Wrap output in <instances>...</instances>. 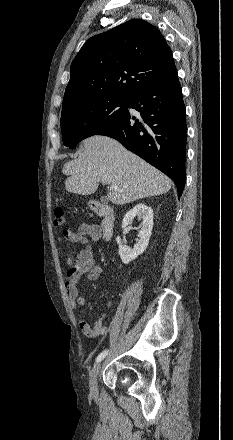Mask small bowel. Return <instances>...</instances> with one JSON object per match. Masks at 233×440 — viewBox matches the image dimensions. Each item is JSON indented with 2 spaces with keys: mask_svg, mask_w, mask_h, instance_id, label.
<instances>
[{
  "mask_svg": "<svg viewBox=\"0 0 233 440\" xmlns=\"http://www.w3.org/2000/svg\"><path fill=\"white\" fill-rule=\"evenodd\" d=\"M64 237L71 243H80L85 247L75 255L74 249L68 250L67 272L65 280V292L70 307L75 309L77 306L86 307L87 300L78 290V282L82 277L89 281L97 280L103 273V268L96 264L92 243L99 241L100 228L94 223L81 224L75 230H64ZM111 304L109 303L108 306ZM106 314H101L95 320L93 326L87 321L80 320L79 328L82 334L90 339H96L107 335L109 327L105 325Z\"/></svg>",
  "mask_w": 233,
  "mask_h": 440,
  "instance_id": "c3829d8e",
  "label": "small bowel"
}]
</instances>
